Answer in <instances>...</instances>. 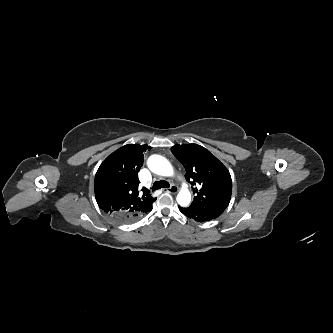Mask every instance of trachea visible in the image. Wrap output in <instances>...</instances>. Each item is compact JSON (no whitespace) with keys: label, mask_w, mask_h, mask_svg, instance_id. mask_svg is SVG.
<instances>
[{"label":"trachea","mask_w":333,"mask_h":333,"mask_svg":"<svg viewBox=\"0 0 333 333\" xmlns=\"http://www.w3.org/2000/svg\"><path fill=\"white\" fill-rule=\"evenodd\" d=\"M170 184L165 181V180H161V181H156L153 186H152V191L161 189V188H169Z\"/></svg>","instance_id":"trachea-1"}]
</instances>
